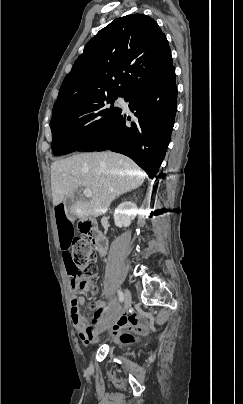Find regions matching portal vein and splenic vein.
I'll return each instance as SVG.
<instances>
[{
    "instance_id": "obj_1",
    "label": "portal vein and splenic vein",
    "mask_w": 243,
    "mask_h": 404,
    "mask_svg": "<svg viewBox=\"0 0 243 404\" xmlns=\"http://www.w3.org/2000/svg\"><path fill=\"white\" fill-rule=\"evenodd\" d=\"M83 194H84V196H86V198H93V192H91V190H89V188H85Z\"/></svg>"
}]
</instances>
